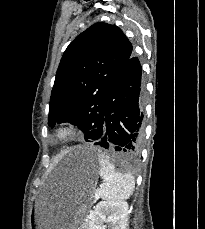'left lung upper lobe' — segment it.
<instances>
[{
    "label": "left lung upper lobe",
    "mask_w": 205,
    "mask_h": 229,
    "mask_svg": "<svg viewBox=\"0 0 205 229\" xmlns=\"http://www.w3.org/2000/svg\"><path fill=\"white\" fill-rule=\"evenodd\" d=\"M131 54L132 44L115 25L95 23L78 35L59 64L48 125L69 122L91 141L89 135L103 121L109 91Z\"/></svg>",
    "instance_id": "left-lung-upper-lobe-1"
}]
</instances>
